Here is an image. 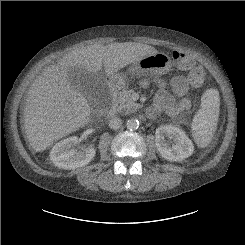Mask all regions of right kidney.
Returning <instances> with one entry per match:
<instances>
[{
    "mask_svg": "<svg viewBox=\"0 0 245 245\" xmlns=\"http://www.w3.org/2000/svg\"><path fill=\"white\" fill-rule=\"evenodd\" d=\"M79 143L76 136H72L56 143L50 152V159L55 166L62 169H76L86 166L94 159L96 151L88 148L82 151L75 150V145Z\"/></svg>",
    "mask_w": 245,
    "mask_h": 245,
    "instance_id": "right-kidney-1",
    "label": "right kidney"
}]
</instances>
